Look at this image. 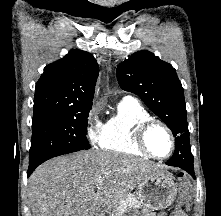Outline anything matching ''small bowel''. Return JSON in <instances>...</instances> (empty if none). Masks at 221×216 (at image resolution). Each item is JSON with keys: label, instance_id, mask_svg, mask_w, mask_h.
Masks as SVG:
<instances>
[{"label": "small bowel", "instance_id": "c3829d8e", "mask_svg": "<svg viewBox=\"0 0 221 216\" xmlns=\"http://www.w3.org/2000/svg\"><path fill=\"white\" fill-rule=\"evenodd\" d=\"M170 216H187V215L182 211H174L171 213Z\"/></svg>", "mask_w": 221, "mask_h": 216}]
</instances>
